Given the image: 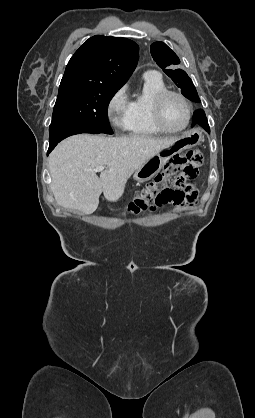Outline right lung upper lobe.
Instances as JSON below:
<instances>
[{"label": "right lung upper lobe", "instance_id": "obj_1", "mask_svg": "<svg viewBox=\"0 0 255 418\" xmlns=\"http://www.w3.org/2000/svg\"><path fill=\"white\" fill-rule=\"evenodd\" d=\"M138 58L139 47L129 39L93 36L71 57L60 85L120 88L134 71Z\"/></svg>", "mask_w": 255, "mask_h": 418}]
</instances>
